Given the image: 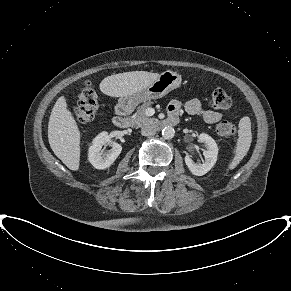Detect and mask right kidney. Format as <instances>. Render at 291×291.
<instances>
[{
    "instance_id": "right-kidney-1",
    "label": "right kidney",
    "mask_w": 291,
    "mask_h": 291,
    "mask_svg": "<svg viewBox=\"0 0 291 291\" xmlns=\"http://www.w3.org/2000/svg\"><path fill=\"white\" fill-rule=\"evenodd\" d=\"M106 144H110L112 147L107 152L102 149ZM121 151V145L113 142L107 132H102L93 140L92 145L89 147L88 159L96 169H106L113 164Z\"/></svg>"
}]
</instances>
